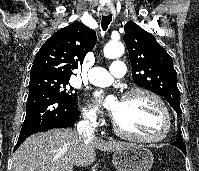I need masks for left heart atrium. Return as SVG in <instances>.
<instances>
[{
  "label": "left heart atrium",
  "mask_w": 199,
  "mask_h": 171,
  "mask_svg": "<svg viewBox=\"0 0 199 171\" xmlns=\"http://www.w3.org/2000/svg\"><path fill=\"white\" fill-rule=\"evenodd\" d=\"M95 99H96V101H97V102H99V101H100V99H101L100 94H96V95H95ZM113 114H114V113H113Z\"/></svg>",
  "instance_id": "1"
}]
</instances>
